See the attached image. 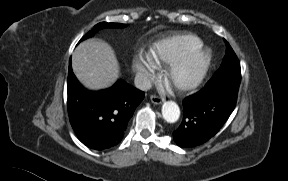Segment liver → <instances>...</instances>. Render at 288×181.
Wrapping results in <instances>:
<instances>
[{
	"mask_svg": "<svg viewBox=\"0 0 288 181\" xmlns=\"http://www.w3.org/2000/svg\"><path fill=\"white\" fill-rule=\"evenodd\" d=\"M72 68L77 79L92 90L111 86L119 76V65L111 47L100 40L80 43L72 55Z\"/></svg>",
	"mask_w": 288,
	"mask_h": 181,
	"instance_id": "1",
	"label": "liver"
}]
</instances>
